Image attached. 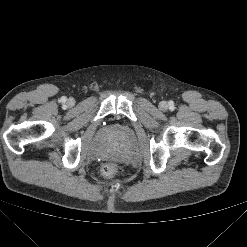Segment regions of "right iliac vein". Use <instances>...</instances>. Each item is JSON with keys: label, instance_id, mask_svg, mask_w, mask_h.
<instances>
[{"label": "right iliac vein", "instance_id": "right-iliac-vein-1", "mask_svg": "<svg viewBox=\"0 0 247 247\" xmlns=\"http://www.w3.org/2000/svg\"><path fill=\"white\" fill-rule=\"evenodd\" d=\"M67 103H68V105L72 106L75 104V100L70 98Z\"/></svg>", "mask_w": 247, "mask_h": 247}]
</instances>
